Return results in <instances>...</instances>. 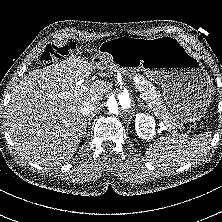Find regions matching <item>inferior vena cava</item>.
Instances as JSON below:
<instances>
[{
  "instance_id": "1",
  "label": "inferior vena cava",
  "mask_w": 222,
  "mask_h": 222,
  "mask_svg": "<svg viewBox=\"0 0 222 222\" xmlns=\"http://www.w3.org/2000/svg\"><path fill=\"white\" fill-rule=\"evenodd\" d=\"M96 101L95 99H89L82 103V107L80 109V112L82 115H88L90 114L95 108H96Z\"/></svg>"
}]
</instances>
